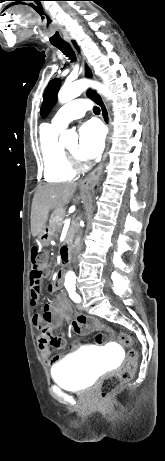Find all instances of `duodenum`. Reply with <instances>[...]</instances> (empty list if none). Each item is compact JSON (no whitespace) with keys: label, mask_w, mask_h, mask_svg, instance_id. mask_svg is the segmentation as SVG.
Instances as JSON below:
<instances>
[{"label":"duodenum","mask_w":165,"mask_h":461,"mask_svg":"<svg viewBox=\"0 0 165 461\" xmlns=\"http://www.w3.org/2000/svg\"><path fill=\"white\" fill-rule=\"evenodd\" d=\"M68 245H69V242L66 241L65 244H64V250H63V259H64V261H67V258H68Z\"/></svg>","instance_id":"obj_1"}]
</instances>
